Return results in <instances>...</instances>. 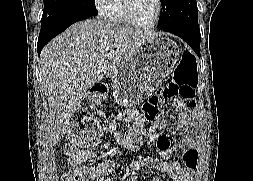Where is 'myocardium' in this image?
I'll list each match as a JSON object with an SVG mask.
<instances>
[{
	"instance_id": "1",
	"label": "myocardium",
	"mask_w": 253,
	"mask_h": 181,
	"mask_svg": "<svg viewBox=\"0 0 253 181\" xmlns=\"http://www.w3.org/2000/svg\"><path fill=\"white\" fill-rule=\"evenodd\" d=\"M156 14L155 17L153 19V21H151L150 23H141L136 21L131 12H130V7H129V0H121V8H122V14H123V18L124 21L136 28H141V29H151L154 28L158 25L161 16H162V11H163V4H162V0H156Z\"/></svg>"
}]
</instances>
